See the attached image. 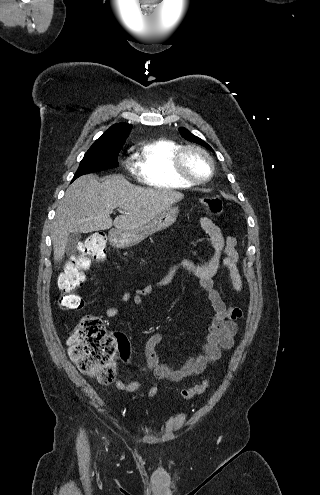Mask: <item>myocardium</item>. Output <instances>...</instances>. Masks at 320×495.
I'll return each instance as SVG.
<instances>
[{
	"label": "myocardium",
	"mask_w": 320,
	"mask_h": 495,
	"mask_svg": "<svg viewBox=\"0 0 320 495\" xmlns=\"http://www.w3.org/2000/svg\"><path fill=\"white\" fill-rule=\"evenodd\" d=\"M194 151L199 154H201L206 161L208 162L209 165V172L205 177H195L189 174L184 166V157L187 152ZM173 169L178 177L181 179L189 182L192 185H199L203 184L211 179V177L214 174L215 170V164L213 161V158L211 155L202 147L193 145V144H188L184 146H180L179 149L176 151L173 157Z\"/></svg>",
	"instance_id": "1"
}]
</instances>
